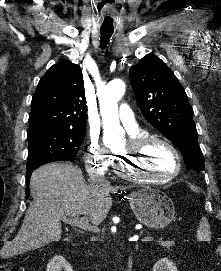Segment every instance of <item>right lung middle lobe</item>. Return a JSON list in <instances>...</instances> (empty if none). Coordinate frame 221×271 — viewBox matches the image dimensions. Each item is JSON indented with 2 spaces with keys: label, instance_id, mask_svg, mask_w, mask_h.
Here are the masks:
<instances>
[{
  "label": "right lung middle lobe",
  "instance_id": "right-lung-middle-lobe-1",
  "mask_svg": "<svg viewBox=\"0 0 221 271\" xmlns=\"http://www.w3.org/2000/svg\"><path fill=\"white\" fill-rule=\"evenodd\" d=\"M27 170L54 161H73L86 131L41 127L27 131Z\"/></svg>",
  "mask_w": 221,
  "mask_h": 271
}]
</instances>
